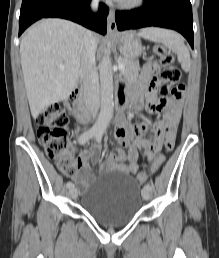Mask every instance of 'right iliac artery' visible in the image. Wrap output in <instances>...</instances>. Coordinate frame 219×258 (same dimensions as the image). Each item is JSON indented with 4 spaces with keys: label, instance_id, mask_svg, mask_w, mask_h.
I'll use <instances>...</instances> for the list:
<instances>
[{
    "label": "right iliac artery",
    "instance_id": "1",
    "mask_svg": "<svg viewBox=\"0 0 219 258\" xmlns=\"http://www.w3.org/2000/svg\"><path fill=\"white\" fill-rule=\"evenodd\" d=\"M97 131H98L97 129L92 128V129L82 133L79 137V143L85 144L90 138L95 136ZM66 186H67V188H71L73 186V183L71 181H69V182H67Z\"/></svg>",
    "mask_w": 219,
    "mask_h": 258
}]
</instances>
